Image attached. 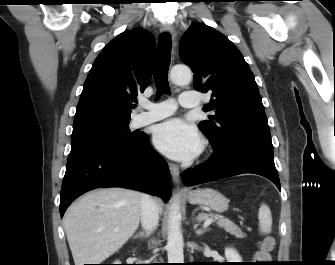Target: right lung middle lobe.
Listing matches in <instances>:
<instances>
[{
    "label": "right lung middle lobe",
    "instance_id": "right-lung-middle-lobe-1",
    "mask_svg": "<svg viewBox=\"0 0 335 265\" xmlns=\"http://www.w3.org/2000/svg\"><path fill=\"white\" fill-rule=\"evenodd\" d=\"M126 122H96L73 127L71 150L88 146H122L135 143L141 134L131 133Z\"/></svg>",
    "mask_w": 335,
    "mask_h": 265
}]
</instances>
